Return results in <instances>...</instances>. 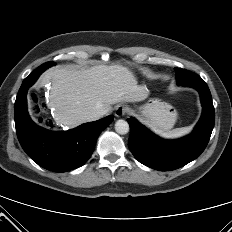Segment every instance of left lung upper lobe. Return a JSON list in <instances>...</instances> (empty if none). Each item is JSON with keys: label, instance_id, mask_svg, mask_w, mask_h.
I'll list each match as a JSON object with an SVG mask.
<instances>
[{"label": "left lung upper lobe", "instance_id": "obj_1", "mask_svg": "<svg viewBox=\"0 0 232 232\" xmlns=\"http://www.w3.org/2000/svg\"><path fill=\"white\" fill-rule=\"evenodd\" d=\"M176 71V80H177V84L181 85L183 83H185L186 81L189 80V78L191 77L190 71L184 70V69H179V68H175Z\"/></svg>", "mask_w": 232, "mask_h": 232}]
</instances>
